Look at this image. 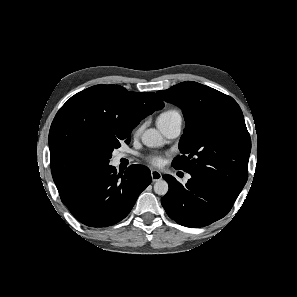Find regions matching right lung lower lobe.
Wrapping results in <instances>:
<instances>
[{"label":"right lung lower lobe","instance_id":"right-lung-lower-lobe-1","mask_svg":"<svg viewBox=\"0 0 297 297\" xmlns=\"http://www.w3.org/2000/svg\"><path fill=\"white\" fill-rule=\"evenodd\" d=\"M151 183L150 170L131 165L124 175L113 166L91 174L61 199L73 216L91 227H107L124 219Z\"/></svg>","mask_w":297,"mask_h":297}]
</instances>
